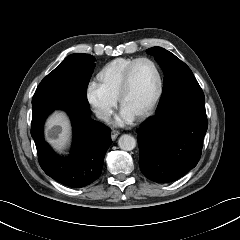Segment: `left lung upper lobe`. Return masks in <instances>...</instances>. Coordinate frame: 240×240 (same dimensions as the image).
I'll return each instance as SVG.
<instances>
[{
  "mask_svg": "<svg viewBox=\"0 0 240 240\" xmlns=\"http://www.w3.org/2000/svg\"><path fill=\"white\" fill-rule=\"evenodd\" d=\"M164 70L163 92L156 114L179 101L205 102L203 91L190 68L174 54L161 47L147 49Z\"/></svg>",
  "mask_w": 240,
  "mask_h": 240,
  "instance_id": "obj_1",
  "label": "left lung upper lobe"
}]
</instances>
